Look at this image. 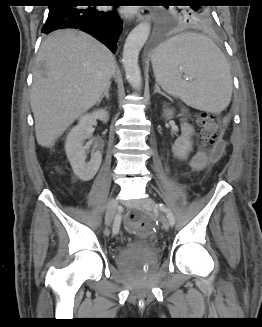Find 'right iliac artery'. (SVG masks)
<instances>
[{
  "instance_id": "obj_1",
  "label": "right iliac artery",
  "mask_w": 262,
  "mask_h": 327,
  "mask_svg": "<svg viewBox=\"0 0 262 327\" xmlns=\"http://www.w3.org/2000/svg\"><path fill=\"white\" fill-rule=\"evenodd\" d=\"M121 217L120 215H116L114 224H113V234H117L120 229Z\"/></svg>"
}]
</instances>
